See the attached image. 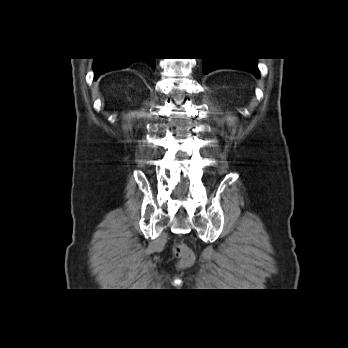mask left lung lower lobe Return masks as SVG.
Listing matches in <instances>:
<instances>
[{"label":"left lung lower lobe","mask_w":348,"mask_h":348,"mask_svg":"<svg viewBox=\"0 0 348 348\" xmlns=\"http://www.w3.org/2000/svg\"><path fill=\"white\" fill-rule=\"evenodd\" d=\"M219 68L245 70L259 77V70L254 58H203V71L205 74Z\"/></svg>","instance_id":"left-lung-lower-lobe-1"}]
</instances>
